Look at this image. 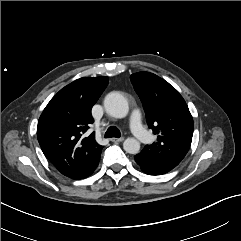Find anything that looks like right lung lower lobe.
Segmentation results:
<instances>
[{
  "mask_svg": "<svg viewBox=\"0 0 241 241\" xmlns=\"http://www.w3.org/2000/svg\"><path fill=\"white\" fill-rule=\"evenodd\" d=\"M99 160H100V158L98 160H96L95 162H93L92 164L85 166V167L77 170L76 172L70 174L68 177L72 178V179H76V180L88 177L89 175H91L94 172V170L98 166Z\"/></svg>",
  "mask_w": 241,
  "mask_h": 241,
  "instance_id": "obj_1",
  "label": "right lung lower lobe"
}]
</instances>
